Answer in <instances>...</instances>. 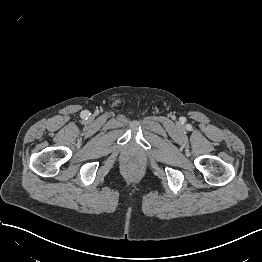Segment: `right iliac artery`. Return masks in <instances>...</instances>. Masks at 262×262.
Masks as SVG:
<instances>
[{
  "label": "right iliac artery",
  "mask_w": 262,
  "mask_h": 262,
  "mask_svg": "<svg viewBox=\"0 0 262 262\" xmlns=\"http://www.w3.org/2000/svg\"><path fill=\"white\" fill-rule=\"evenodd\" d=\"M90 115V113L88 111H84L82 114V117H88Z\"/></svg>",
  "instance_id": "1"
}]
</instances>
